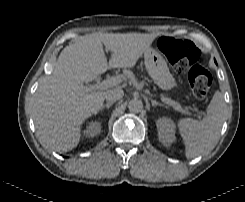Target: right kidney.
Instances as JSON below:
<instances>
[{
	"instance_id": "ca27d5eb",
	"label": "right kidney",
	"mask_w": 245,
	"mask_h": 202,
	"mask_svg": "<svg viewBox=\"0 0 245 202\" xmlns=\"http://www.w3.org/2000/svg\"><path fill=\"white\" fill-rule=\"evenodd\" d=\"M101 131V123L97 122V121H92L89 123V125H87L86 130L84 131V134L87 137H95L96 135H98Z\"/></svg>"
}]
</instances>
